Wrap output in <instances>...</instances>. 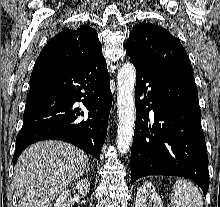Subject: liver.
Returning <instances> with one entry per match:
<instances>
[{
  "label": "liver",
  "mask_w": 220,
  "mask_h": 207,
  "mask_svg": "<svg viewBox=\"0 0 220 207\" xmlns=\"http://www.w3.org/2000/svg\"><path fill=\"white\" fill-rule=\"evenodd\" d=\"M87 155L55 140L32 144L14 168L18 207H51L53 200L88 169Z\"/></svg>",
  "instance_id": "6515ba94"
}]
</instances>
